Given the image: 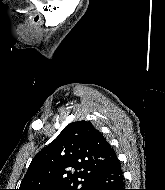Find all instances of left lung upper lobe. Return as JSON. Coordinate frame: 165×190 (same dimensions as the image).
<instances>
[{"label": "left lung upper lobe", "mask_w": 165, "mask_h": 190, "mask_svg": "<svg viewBox=\"0 0 165 190\" xmlns=\"http://www.w3.org/2000/svg\"><path fill=\"white\" fill-rule=\"evenodd\" d=\"M116 158L106 138L87 121L68 124L32 160L19 190H89Z\"/></svg>", "instance_id": "obj_1"}]
</instances>
